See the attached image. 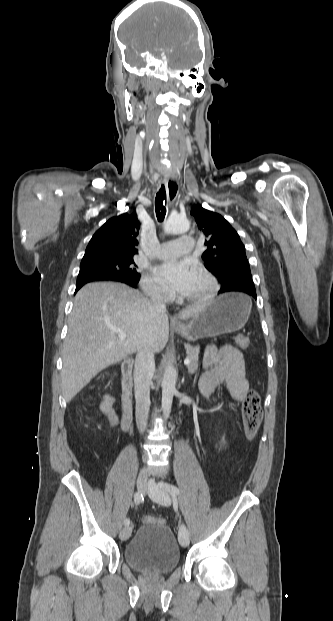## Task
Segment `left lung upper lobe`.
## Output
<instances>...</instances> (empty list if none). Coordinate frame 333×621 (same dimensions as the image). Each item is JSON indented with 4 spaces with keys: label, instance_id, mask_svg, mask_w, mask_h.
Returning <instances> with one entry per match:
<instances>
[{
    "label": "left lung upper lobe",
    "instance_id": "5c2ea615",
    "mask_svg": "<svg viewBox=\"0 0 333 621\" xmlns=\"http://www.w3.org/2000/svg\"><path fill=\"white\" fill-rule=\"evenodd\" d=\"M191 214L207 238L204 266L218 278L220 290L235 285L254 286L245 247L235 229L220 214L200 205H194Z\"/></svg>",
    "mask_w": 333,
    "mask_h": 621
}]
</instances>
